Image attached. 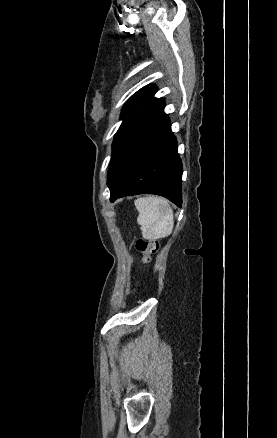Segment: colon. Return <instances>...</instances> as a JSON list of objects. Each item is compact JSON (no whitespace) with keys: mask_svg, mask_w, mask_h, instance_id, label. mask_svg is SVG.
I'll return each mask as SVG.
<instances>
[{"mask_svg":"<svg viewBox=\"0 0 277 438\" xmlns=\"http://www.w3.org/2000/svg\"><path fill=\"white\" fill-rule=\"evenodd\" d=\"M136 246H137V249H138L140 252H143V253L146 254V255H148L149 252L154 251V250H155V247H157V246H155L152 242L147 241V240L144 239V238H139V239L137 240V244H136Z\"/></svg>","mask_w":277,"mask_h":438,"instance_id":"5ec220e1","label":"colon"}]
</instances>
